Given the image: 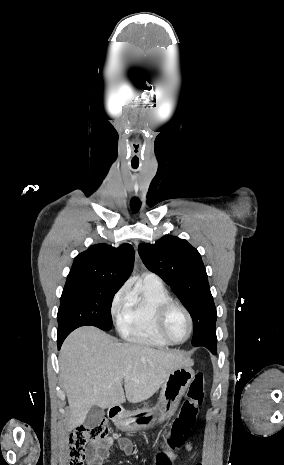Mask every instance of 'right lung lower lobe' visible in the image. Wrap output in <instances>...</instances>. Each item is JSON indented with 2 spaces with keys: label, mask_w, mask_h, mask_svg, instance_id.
<instances>
[{
  "label": "right lung lower lobe",
  "mask_w": 284,
  "mask_h": 465,
  "mask_svg": "<svg viewBox=\"0 0 284 465\" xmlns=\"http://www.w3.org/2000/svg\"><path fill=\"white\" fill-rule=\"evenodd\" d=\"M73 330L74 329H70V330H66L61 333H58V339H57L58 350H60L63 341Z\"/></svg>",
  "instance_id": "right-lung-lower-lobe-1"
}]
</instances>
